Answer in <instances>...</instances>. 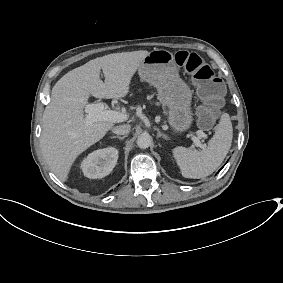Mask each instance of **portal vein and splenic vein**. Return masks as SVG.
<instances>
[{
  "label": "portal vein and splenic vein",
  "instance_id": "1",
  "mask_svg": "<svg viewBox=\"0 0 283 283\" xmlns=\"http://www.w3.org/2000/svg\"><path fill=\"white\" fill-rule=\"evenodd\" d=\"M85 113H86L85 119L87 124L89 125L97 121H110L112 123H119L127 120V114L113 110H105L104 103L102 102L97 104L86 105ZM196 134L199 137L192 136V141L194 142L195 146L205 149L206 146L200 142V138L202 137L206 138L207 135L201 130H198Z\"/></svg>",
  "mask_w": 283,
  "mask_h": 283
}]
</instances>
